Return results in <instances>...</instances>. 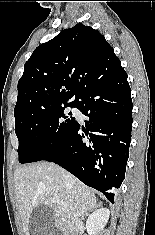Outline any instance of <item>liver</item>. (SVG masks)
<instances>
[{
    "mask_svg": "<svg viewBox=\"0 0 155 235\" xmlns=\"http://www.w3.org/2000/svg\"><path fill=\"white\" fill-rule=\"evenodd\" d=\"M14 183L24 235H30L29 220L37 205L50 206L55 221L67 225L97 205L92 189L54 163L42 161L19 167ZM55 196L59 202L54 201Z\"/></svg>",
    "mask_w": 155,
    "mask_h": 235,
    "instance_id": "liver-1",
    "label": "liver"
}]
</instances>
